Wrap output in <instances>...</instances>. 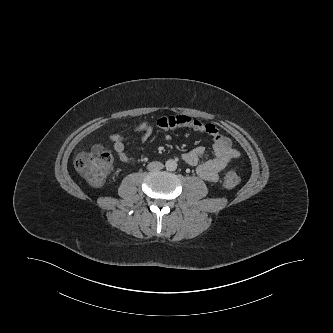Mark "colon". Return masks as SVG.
Returning a JSON list of instances; mask_svg holds the SVG:
<instances>
[{"instance_id": "5ec220e1", "label": "colon", "mask_w": 333, "mask_h": 333, "mask_svg": "<svg viewBox=\"0 0 333 333\" xmlns=\"http://www.w3.org/2000/svg\"><path fill=\"white\" fill-rule=\"evenodd\" d=\"M113 159L110 152L100 146L88 152H82L75 158V168L78 173L91 185L100 186L107 178ZM240 177L235 171H228L223 177V184L227 188L235 187Z\"/></svg>"}]
</instances>
